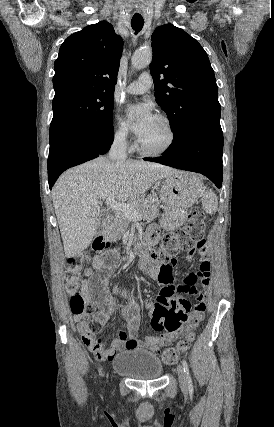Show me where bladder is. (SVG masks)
I'll use <instances>...</instances> for the list:
<instances>
[{"label": "bladder", "mask_w": 274, "mask_h": 427, "mask_svg": "<svg viewBox=\"0 0 274 427\" xmlns=\"http://www.w3.org/2000/svg\"><path fill=\"white\" fill-rule=\"evenodd\" d=\"M116 374L126 375L133 380L161 378L165 368L162 361L148 350L127 349L113 358Z\"/></svg>", "instance_id": "1"}]
</instances>
